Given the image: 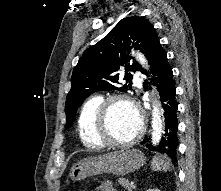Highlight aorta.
I'll return each instance as SVG.
<instances>
[{
  "instance_id": "obj_1",
  "label": "aorta",
  "mask_w": 221,
  "mask_h": 191,
  "mask_svg": "<svg viewBox=\"0 0 221 191\" xmlns=\"http://www.w3.org/2000/svg\"><path fill=\"white\" fill-rule=\"evenodd\" d=\"M136 60L143 66L148 67L147 60L142 53H133ZM163 132V122L161 119L160 109L158 107L157 101H154L152 110V143L154 145L158 144L161 140Z\"/></svg>"
}]
</instances>
